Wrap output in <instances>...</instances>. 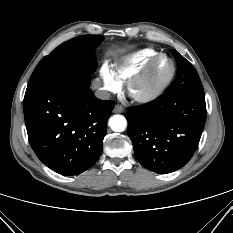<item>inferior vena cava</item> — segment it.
<instances>
[{"mask_svg":"<svg viewBox=\"0 0 233 233\" xmlns=\"http://www.w3.org/2000/svg\"><path fill=\"white\" fill-rule=\"evenodd\" d=\"M95 96L101 100H108L110 98V93L103 89H98L95 92Z\"/></svg>","mask_w":233,"mask_h":233,"instance_id":"obj_1","label":"inferior vena cava"}]
</instances>
